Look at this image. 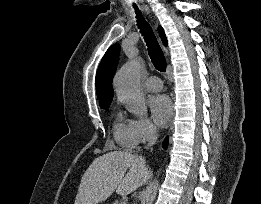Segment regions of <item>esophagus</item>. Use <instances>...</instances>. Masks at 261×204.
I'll return each instance as SVG.
<instances>
[{"instance_id": "obj_1", "label": "esophagus", "mask_w": 261, "mask_h": 204, "mask_svg": "<svg viewBox=\"0 0 261 204\" xmlns=\"http://www.w3.org/2000/svg\"><path fill=\"white\" fill-rule=\"evenodd\" d=\"M163 50H164V52H165V55L168 56V55H169L168 49L163 46Z\"/></svg>"}]
</instances>
